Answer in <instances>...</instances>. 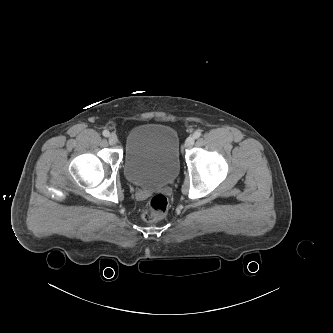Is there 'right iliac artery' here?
I'll use <instances>...</instances> for the list:
<instances>
[{"mask_svg":"<svg viewBox=\"0 0 333 333\" xmlns=\"http://www.w3.org/2000/svg\"><path fill=\"white\" fill-rule=\"evenodd\" d=\"M102 134H103V136H105V137H109V135H110V133H109L108 130H104Z\"/></svg>","mask_w":333,"mask_h":333,"instance_id":"obj_1","label":"right iliac artery"}]
</instances>
